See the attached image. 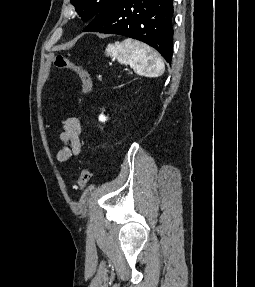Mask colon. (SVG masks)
Instances as JSON below:
<instances>
[{"label": "colon", "mask_w": 255, "mask_h": 287, "mask_svg": "<svg viewBox=\"0 0 255 287\" xmlns=\"http://www.w3.org/2000/svg\"><path fill=\"white\" fill-rule=\"evenodd\" d=\"M55 65L60 69L70 70L76 73L81 79L83 92L89 93L91 91L92 80L89 73L83 67L74 63L71 59L65 56H57L55 59ZM90 177V170L87 167H83L78 179V188L80 190H84L86 188Z\"/></svg>", "instance_id": "1"}]
</instances>
